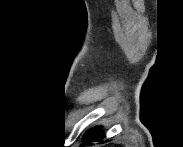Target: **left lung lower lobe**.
Here are the masks:
<instances>
[{
    "label": "left lung lower lobe",
    "instance_id": "obj_1",
    "mask_svg": "<svg viewBox=\"0 0 183 147\" xmlns=\"http://www.w3.org/2000/svg\"><path fill=\"white\" fill-rule=\"evenodd\" d=\"M102 138H104V133L101 130V127L89 129L82 138V141L84 142L82 145H90L91 143L89 142L99 141Z\"/></svg>",
    "mask_w": 183,
    "mask_h": 147
}]
</instances>
